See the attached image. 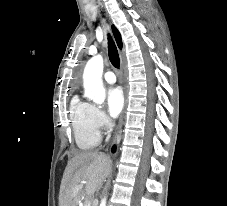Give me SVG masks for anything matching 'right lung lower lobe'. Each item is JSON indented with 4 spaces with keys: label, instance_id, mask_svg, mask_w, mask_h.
<instances>
[{
    "label": "right lung lower lobe",
    "instance_id": "obj_1",
    "mask_svg": "<svg viewBox=\"0 0 227 206\" xmlns=\"http://www.w3.org/2000/svg\"><path fill=\"white\" fill-rule=\"evenodd\" d=\"M115 150H116V147L113 146V147H112V152H115Z\"/></svg>",
    "mask_w": 227,
    "mask_h": 206
}]
</instances>
